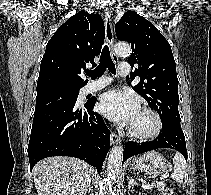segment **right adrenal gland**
Masks as SVG:
<instances>
[{
    "label": "right adrenal gland",
    "instance_id": "1",
    "mask_svg": "<svg viewBox=\"0 0 211 195\" xmlns=\"http://www.w3.org/2000/svg\"><path fill=\"white\" fill-rule=\"evenodd\" d=\"M90 190H91V182L89 183L87 189L85 190L84 195H87V192H90Z\"/></svg>",
    "mask_w": 211,
    "mask_h": 195
}]
</instances>
